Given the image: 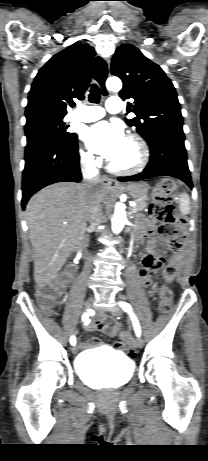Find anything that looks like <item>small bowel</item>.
<instances>
[{
    "mask_svg": "<svg viewBox=\"0 0 208 461\" xmlns=\"http://www.w3.org/2000/svg\"><path fill=\"white\" fill-rule=\"evenodd\" d=\"M143 216L148 214L146 209L141 211ZM155 221L153 219H143L140 225L138 232L136 233V239L139 241H144L148 238L149 233L152 230H155L156 234L152 235V240H148L147 242V254L144 258V268L140 272V279L142 283L146 286H150L152 283L150 272L153 269L158 268L157 260L160 258L159 255L171 246H177L179 242H184V229H179L178 225H155ZM178 254L181 252L179 249L176 251ZM173 264L176 262L174 259L171 261ZM67 268L69 271H76L78 268L77 263H68ZM59 279L62 282H66L71 279V276L68 274H61ZM151 292H155V288H151ZM87 329H98L103 331L109 336H115L119 330L118 324L114 321L111 317H104L101 319L94 320L87 324ZM122 338L127 341L131 342V336L127 332H122L121 337H111L110 343V350L114 354H119L123 351L122 346ZM102 345V341L98 338H90L85 341H82L79 347L82 350L91 348V347H99Z\"/></svg>",
    "mask_w": 208,
    "mask_h": 461,
    "instance_id": "obj_1",
    "label": "small bowel"
}]
</instances>
